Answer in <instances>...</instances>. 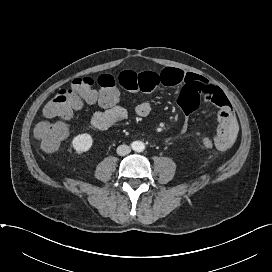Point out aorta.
<instances>
[{"label": "aorta", "mask_w": 272, "mask_h": 272, "mask_svg": "<svg viewBox=\"0 0 272 272\" xmlns=\"http://www.w3.org/2000/svg\"><path fill=\"white\" fill-rule=\"evenodd\" d=\"M145 149V144L142 141H135L133 143V150L136 152H142Z\"/></svg>", "instance_id": "obj_1"}]
</instances>
